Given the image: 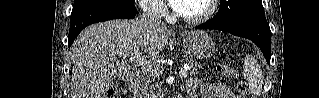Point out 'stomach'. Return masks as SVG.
Returning <instances> with one entry per match:
<instances>
[{
  "instance_id": "obj_1",
  "label": "stomach",
  "mask_w": 319,
  "mask_h": 98,
  "mask_svg": "<svg viewBox=\"0 0 319 98\" xmlns=\"http://www.w3.org/2000/svg\"><path fill=\"white\" fill-rule=\"evenodd\" d=\"M185 52L192 58L207 59L215 53L213 39L204 31H190L183 40Z\"/></svg>"
}]
</instances>
